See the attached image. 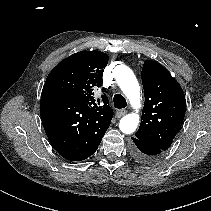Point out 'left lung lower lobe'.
I'll list each match as a JSON object with an SVG mask.
<instances>
[{
    "label": "left lung lower lobe",
    "mask_w": 211,
    "mask_h": 211,
    "mask_svg": "<svg viewBox=\"0 0 211 211\" xmlns=\"http://www.w3.org/2000/svg\"><path fill=\"white\" fill-rule=\"evenodd\" d=\"M131 154L134 159L140 163H151L155 161L162 153L161 150L152 148L151 146L139 141L135 137L132 138Z\"/></svg>",
    "instance_id": "left-lung-lower-lobe-1"
}]
</instances>
